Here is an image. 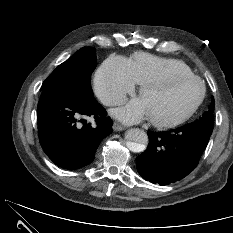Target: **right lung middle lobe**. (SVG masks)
<instances>
[{"instance_id": "1", "label": "right lung middle lobe", "mask_w": 233, "mask_h": 233, "mask_svg": "<svg viewBox=\"0 0 233 233\" xmlns=\"http://www.w3.org/2000/svg\"><path fill=\"white\" fill-rule=\"evenodd\" d=\"M97 65L94 48L83 47L60 64L43 82V91H54L93 99L91 74Z\"/></svg>"}]
</instances>
